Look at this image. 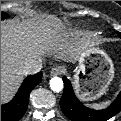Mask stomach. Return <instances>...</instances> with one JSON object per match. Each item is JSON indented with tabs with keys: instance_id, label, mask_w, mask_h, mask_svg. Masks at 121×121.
Returning a JSON list of instances; mask_svg holds the SVG:
<instances>
[{
	"instance_id": "1",
	"label": "stomach",
	"mask_w": 121,
	"mask_h": 121,
	"mask_svg": "<svg viewBox=\"0 0 121 121\" xmlns=\"http://www.w3.org/2000/svg\"><path fill=\"white\" fill-rule=\"evenodd\" d=\"M113 77L114 67L111 59L102 50L94 49L81 56L74 75V84L79 89V97L89 101L105 93Z\"/></svg>"
}]
</instances>
